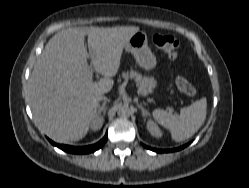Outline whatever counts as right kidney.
I'll return each instance as SVG.
<instances>
[{
    "label": "right kidney",
    "instance_id": "ca27d5eb",
    "mask_svg": "<svg viewBox=\"0 0 249 188\" xmlns=\"http://www.w3.org/2000/svg\"><path fill=\"white\" fill-rule=\"evenodd\" d=\"M104 119L96 116L91 122V129L95 132L98 131L103 125Z\"/></svg>",
    "mask_w": 249,
    "mask_h": 188
}]
</instances>
